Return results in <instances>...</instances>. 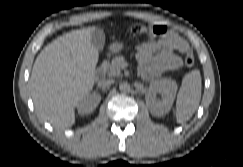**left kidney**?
<instances>
[{
	"instance_id": "obj_1",
	"label": "left kidney",
	"mask_w": 243,
	"mask_h": 167,
	"mask_svg": "<svg viewBox=\"0 0 243 167\" xmlns=\"http://www.w3.org/2000/svg\"><path fill=\"white\" fill-rule=\"evenodd\" d=\"M177 91V84L173 80L162 79L150 84L148 93L145 96L146 104L155 116H163L169 112L172 107ZM162 93V100L156 101L155 94Z\"/></svg>"
}]
</instances>
